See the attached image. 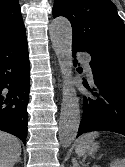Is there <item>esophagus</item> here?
<instances>
[{"label":"esophagus","mask_w":125,"mask_h":167,"mask_svg":"<svg viewBox=\"0 0 125 167\" xmlns=\"http://www.w3.org/2000/svg\"><path fill=\"white\" fill-rule=\"evenodd\" d=\"M59 86L61 87V80L59 79Z\"/></svg>","instance_id":"obj_1"}]
</instances>
